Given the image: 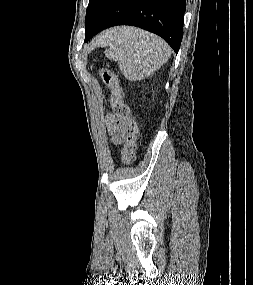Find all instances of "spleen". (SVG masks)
I'll return each mask as SVG.
<instances>
[{
    "label": "spleen",
    "mask_w": 253,
    "mask_h": 285,
    "mask_svg": "<svg viewBox=\"0 0 253 285\" xmlns=\"http://www.w3.org/2000/svg\"><path fill=\"white\" fill-rule=\"evenodd\" d=\"M101 43L109 45L106 57L116 61L124 77L130 81L149 77L171 55L170 47L163 39L134 27L119 28L105 36Z\"/></svg>",
    "instance_id": "3e777b00"
}]
</instances>
